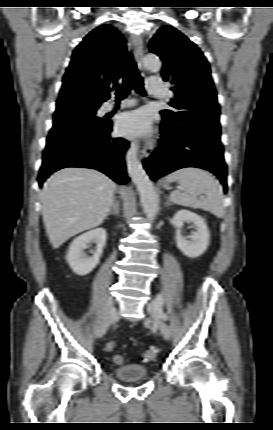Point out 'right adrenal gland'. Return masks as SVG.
I'll return each mask as SVG.
<instances>
[{"label":"right adrenal gland","mask_w":273,"mask_h":430,"mask_svg":"<svg viewBox=\"0 0 273 430\" xmlns=\"http://www.w3.org/2000/svg\"><path fill=\"white\" fill-rule=\"evenodd\" d=\"M119 207H120L119 201L115 200L114 203L112 204L111 210L108 212L107 216L113 214V215L118 217L119 216Z\"/></svg>","instance_id":"right-adrenal-gland-1"}]
</instances>
